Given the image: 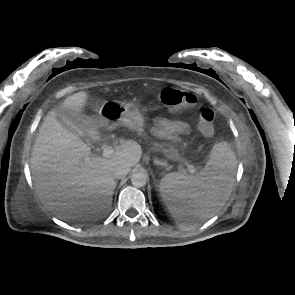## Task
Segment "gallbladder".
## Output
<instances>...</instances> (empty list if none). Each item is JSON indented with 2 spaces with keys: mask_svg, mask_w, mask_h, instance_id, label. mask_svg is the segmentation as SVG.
<instances>
[{
  "mask_svg": "<svg viewBox=\"0 0 295 295\" xmlns=\"http://www.w3.org/2000/svg\"><path fill=\"white\" fill-rule=\"evenodd\" d=\"M56 119L64 127L71 133L78 134L79 130L76 127V124L79 122L77 118H75L69 110L57 108L56 109Z\"/></svg>",
  "mask_w": 295,
  "mask_h": 295,
  "instance_id": "bac80fb5",
  "label": "gallbladder"
}]
</instances>
